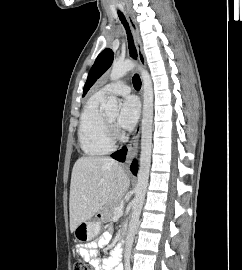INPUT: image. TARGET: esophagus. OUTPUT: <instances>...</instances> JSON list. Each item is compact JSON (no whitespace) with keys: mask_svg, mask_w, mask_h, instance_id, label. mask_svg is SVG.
Returning <instances> with one entry per match:
<instances>
[{"mask_svg":"<svg viewBox=\"0 0 242 270\" xmlns=\"http://www.w3.org/2000/svg\"><path fill=\"white\" fill-rule=\"evenodd\" d=\"M126 13H127V18H128L129 24L131 26L135 42H136L139 61H140L141 65H142L143 69H145L146 68V59H145V55L143 53L137 23L135 21V18L129 12V10H127ZM139 94H140L141 100L143 101V82H142V87L140 89ZM140 132H141V120H139V122H138V124H137V126H136V128L134 130L133 137H132V139L130 140V142L128 144L129 152H128V155H127V158H126V161H125L127 166H129L131 164L133 158L136 155L137 148H138L139 137H140Z\"/></svg>","mask_w":242,"mask_h":270,"instance_id":"1","label":"esophagus"}]
</instances>
